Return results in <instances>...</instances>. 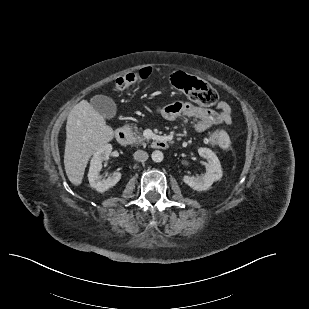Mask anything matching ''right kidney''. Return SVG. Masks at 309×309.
Masks as SVG:
<instances>
[{
	"label": "right kidney",
	"instance_id": "right-kidney-1",
	"mask_svg": "<svg viewBox=\"0 0 309 309\" xmlns=\"http://www.w3.org/2000/svg\"><path fill=\"white\" fill-rule=\"evenodd\" d=\"M111 152L112 145L106 144L94 153L90 162V168L88 172L90 186L101 193L115 186L120 181L122 176L120 172H114L112 176L108 177L107 179H102V176L100 175L102 162L109 158Z\"/></svg>",
	"mask_w": 309,
	"mask_h": 309
}]
</instances>
